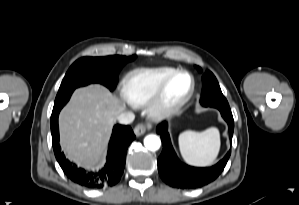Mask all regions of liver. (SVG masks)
I'll list each match as a JSON object with an SVG mask.
<instances>
[{"instance_id": "liver-1", "label": "liver", "mask_w": 299, "mask_h": 205, "mask_svg": "<svg viewBox=\"0 0 299 205\" xmlns=\"http://www.w3.org/2000/svg\"><path fill=\"white\" fill-rule=\"evenodd\" d=\"M124 104L107 88H78L59 116L60 144L78 166L97 168L103 161L112 126Z\"/></svg>"}]
</instances>
